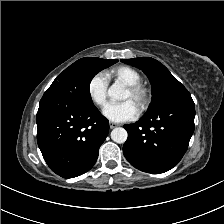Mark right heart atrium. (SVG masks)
Listing matches in <instances>:
<instances>
[{"label":"right heart atrium","instance_id":"1","mask_svg":"<svg viewBox=\"0 0 224 224\" xmlns=\"http://www.w3.org/2000/svg\"><path fill=\"white\" fill-rule=\"evenodd\" d=\"M109 81L102 72L94 74L87 85V92L91 101L98 107H103L107 102Z\"/></svg>","mask_w":224,"mask_h":224}]
</instances>
